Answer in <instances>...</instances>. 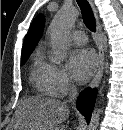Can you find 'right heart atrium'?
Segmentation results:
<instances>
[{"label": "right heart atrium", "instance_id": "d8ad5b80", "mask_svg": "<svg viewBox=\"0 0 123 130\" xmlns=\"http://www.w3.org/2000/svg\"><path fill=\"white\" fill-rule=\"evenodd\" d=\"M51 77L55 96L62 97L73 90L74 83L64 68L51 65Z\"/></svg>", "mask_w": 123, "mask_h": 130}]
</instances>
